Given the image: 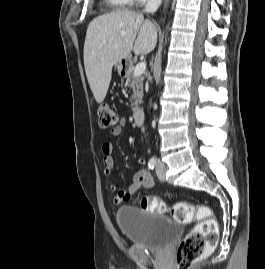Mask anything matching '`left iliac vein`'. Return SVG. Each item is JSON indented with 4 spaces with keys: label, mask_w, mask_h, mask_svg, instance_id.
<instances>
[{
    "label": "left iliac vein",
    "mask_w": 265,
    "mask_h": 269,
    "mask_svg": "<svg viewBox=\"0 0 265 269\" xmlns=\"http://www.w3.org/2000/svg\"><path fill=\"white\" fill-rule=\"evenodd\" d=\"M156 174L161 181L165 180L166 168L162 161L158 160L156 163Z\"/></svg>",
    "instance_id": "left-iliac-vein-1"
}]
</instances>
